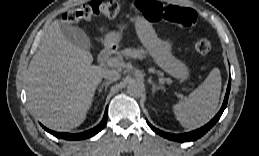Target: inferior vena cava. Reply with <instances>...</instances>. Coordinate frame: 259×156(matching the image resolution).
Returning a JSON list of instances; mask_svg holds the SVG:
<instances>
[{"mask_svg":"<svg viewBox=\"0 0 259 156\" xmlns=\"http://www.w3.org/2000/svg\"><path fill=\"white\" fill-rule=\"evenodd\" d=\"M103 77L108 81L114 82L119 80L121 75L116 70H107Z\"/></svg>","mask_w":259,"mask_h":156,"instance_id":"obj_1","label":"inferior vena cava"}]
</instances>
